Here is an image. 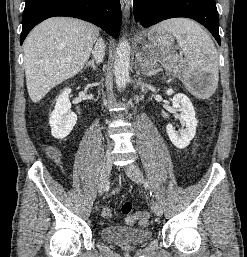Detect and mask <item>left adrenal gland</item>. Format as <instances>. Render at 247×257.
Masks as SVG:
<instances>
[{"mask_svg":"<svg viewBox=\"0 0 247 257\" xmlns=\"http://www.w3.org/2000/svg\"><path fill=\"white\" fill-rule=\"evenodd\" d=\"M156 66V65H155ZM155 66L153 69H150L148 72H145V75L150 77V76H153V75H156L158 72L161 71V69H155Z\"/></svg>","mask_w":247,"mask_h":257,"instance_id":"a2214340","label":"left adrenal gland"}]
</instances>
